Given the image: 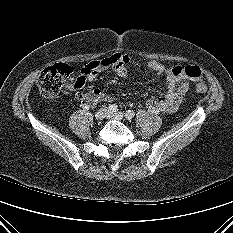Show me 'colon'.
<instances>
[{"mask_svg": "<svg viewBox=\"0 0 233 233\" xmlns=\"http://www.w3.org/2000/svg\"><path fill=\"white\" fill-rule=\"evenodd\" d=\"M176 75H182L192 79H198L201 76V71L198 67L192 65L180 66L174 70ZM72 73V69L67 64L57 63L45 68L37 80V86L40 94L44 98H55L62 87L66 84ZM76 83L81 84L82 80L77 79ZM198 93H206L207 86L199 82L195 86Z\"/></svg>", "mask_w": 233, "mask_h": 233, "instance_id": "colon-1", "label": "colon"}]
</instances>
